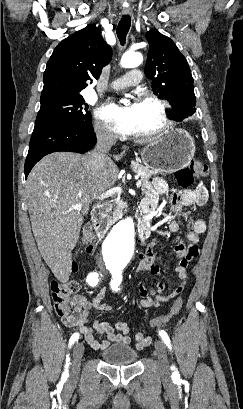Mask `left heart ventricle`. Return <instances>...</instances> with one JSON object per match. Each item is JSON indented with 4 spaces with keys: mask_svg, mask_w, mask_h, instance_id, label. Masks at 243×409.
<instances>
[{
    "mask_svg": "<svg viewBox=\"0 0 243 409\" xmlns=\"http://www.w3.org/2000/svg\"><path fill=\"white\" fill-rule=\"evenodd\" d=\"M136 108V125L134 134L150 132L157 129L160 124L159 110L151 102H137Z\"/></svg>",
    "mask_w": 243,
    "mask_h": 409,
    "instance_id": "obj_1",
    "label": "left heart ventricle"
}]
</instances>
